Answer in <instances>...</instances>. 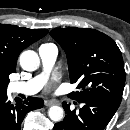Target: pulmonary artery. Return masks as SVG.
Listing matches in <instances>:
<instances>
[{
	"label": "pulmonary artery",
	"mask_w": 130,
	"mask_h": 130,
	"mask_svg": "<svg viewBox=\"0 0 130 130\" xmlns=\"http://www.w3.org/2000/svg\"><path fill=\"white\" fill-rule=\"evenodd\" d=\"M57 54V48L52 44L40 46L39 55L41 58L43 71L27 81L10 83V91L25 95H34L38 93L47 81L48 73L56 61Z\"/></svg>",
	"instance_id": "obj_1"
}]
</instances>
